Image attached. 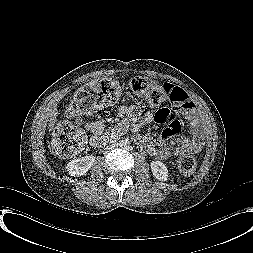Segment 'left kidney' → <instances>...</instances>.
<instances>
[{"mask_svg": "<svg viewBox=\"0 0 253 253\" xmlns=\"http://www.w3.org/2000/svg\"><path fill=\"white\" fill-rule=\"evenodd\" d=\"M154 177L160 181H167L168 169L161 161H152L150 163Z\"/></svg>", "mask_w": 253, "mask_h": 253, "instance_id": "left-kidney-1", "label": "left kidney"}]
</instances>
